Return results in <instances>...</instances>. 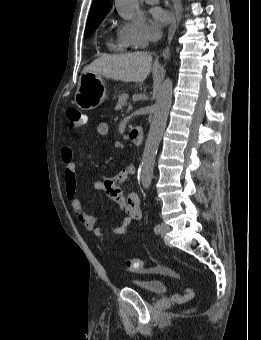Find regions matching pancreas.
Masks as SVG:
<instances>
[{"instance_id": "pancreas-1", "label": "pancreas", "mask_w": 261, "mask_h": 340, "mask_svg": "<svg viewBox=\"0 0 261 340\" xmlns=\"http://www.w3.org/2000/svg\"><path fill=\"white\" fill-rule=\"evenodd\" d=\"M128 95L127 94H121L118 97V102L117 105L115 107V110H121L123 106H125L127 104V99H128Z\"/></svg>"}]
</instances>
